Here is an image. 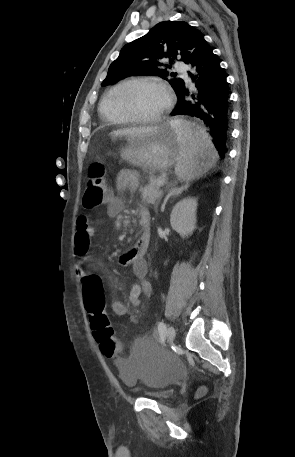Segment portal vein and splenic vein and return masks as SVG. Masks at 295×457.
<instances>
[{
	"instance_id": "18ae733b",
	"label": "portal vein and splenic vein",
	"mask_w": 295,
	"mask_h": 457,
	"mask_svg": "<svg viewBox=\"0 0 295 457\" xmlns=\"http://www.w3.org/2000/svg\"><path fill=\"white\" fill-rule=\"evenodd\" d=\"M166 180L164 178H160L158 181H157V184L159 186H163L165 184Z\"/></svg>"
}]
</instances>
